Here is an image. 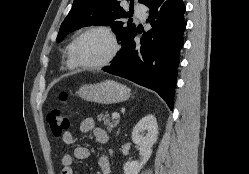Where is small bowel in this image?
Instances as JSON below:
<instances>
[{"label": "small bowel", "mask_w": 249, "mask_h": 174, "mask_svg": "<svg viewBox=\"0 0 249 174\" xmlns=\"http://www.w3.org/2000/svg\"><path fill=\"white\" fill-rule=\"evenodd\" d=\"M80 130L83 133L93 132L96 141L100 145H105L108 142V135L102 128L96 127L92 118L84 119L80 124ZM62 142L67 146H73L76 144L75 135L67 131L62 135ZM90 156V151L86 147H76L72 154H64L61 158L63 165L62 174H75L72 168L73 161L83 160ZM99 173L98 174H111V165L107 155L102 154L98 158Z\"/></svg>", "instance_id": "1"}]
</instances>
